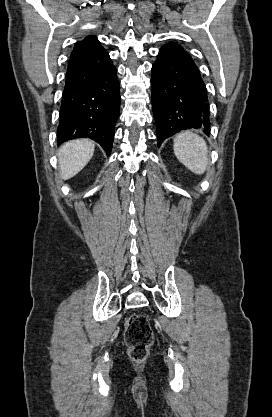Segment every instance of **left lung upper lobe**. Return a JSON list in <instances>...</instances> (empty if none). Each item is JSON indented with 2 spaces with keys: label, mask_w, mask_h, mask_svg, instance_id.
Listing matches in <instances>:
<instances>
[{
  "label": "left lung upper lobe",
  "mask_w": 272,
  "mask_h": 417,
  "mask_svg": "<svg viewBox=\"0 0 272 417\" xmlns=\"http://www.w3.org/2000/svg\"><path fill=\"white\" fill-rule=\"evenodd\" d=\"M164 46H168V47H175V48H181V46L180 45H177L176 43H169V44H166V45H164Z\"/></svg>",
  "instance_id": "1"
}]
</instances>
